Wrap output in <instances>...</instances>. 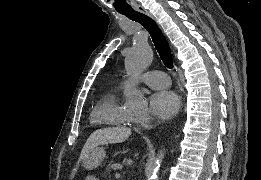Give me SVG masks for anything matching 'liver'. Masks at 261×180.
Returning <instances> with one entry per match:
<instances>
[{
    "label": "liver",
    "mask_w": 261,
    "mask_h": 180,
    "mask_svg": "<svg viewBox=\"0 0 261 180\" xmlns=\"http://www.w3.org/2000/svg\"><path fill=\"white\" fill-rule=\"evenodd\" d=\"M129 136H131L130 128H102V130H95V132L89 136L87 142H85L77 164H80L83 158H87L89 152H92L96 146L121 144V142H125Z\"/></svg>",
    "instance_id": "1"
}]
</instances>
